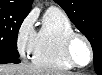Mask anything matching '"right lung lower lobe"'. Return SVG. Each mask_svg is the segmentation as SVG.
Returning a JSON list of instances; mask_svg holds the SVG:
<instances>
[{
    "label": "right lung lower lobe",
    "mask_w": 102,
    "mask_h": 75,
    "mask_svg": "<svg viewBox=\"0 0 102 75\" xmlns=\"http://www.w3.org/2000/svg\"><path fill=\"white\" fill-rule=\"evenodd\" d=\"M21 61L19 60L18 57L14 56H2L0 57V64H6V63H15L18 64Z\"/></svg>",
    "instance_id": "98d812e1"
}]
</instances>
